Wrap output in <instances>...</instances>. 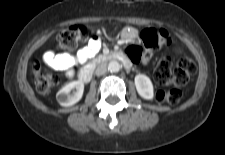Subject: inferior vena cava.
Returning a JSON list of instances; mask_svg holds the SVG:
<instances>
[{
	"instance_id": "inferior-vena-cava-1",
	"label": "inferior vena cava",
	"mask_w": 225,
	"mask_h": 155,
	"mask_svg": "<svg viewBox=\"0 0 225 155\" xmlns=\"http://www.w3.org/2000/svg\"><path fill=\"white\" fill-rule=\"evenodd\" d=\"M106 71H107V66H106V64L102 63V64L97 66V68L95 70V74L97 76H101V75L105 74Z\"/></svg>"
}]
</instances>
